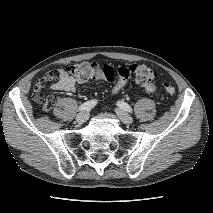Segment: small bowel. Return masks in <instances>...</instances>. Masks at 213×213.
Wrapping results in <instances>:
<instances>
[{
	"mask_svg": "<svg viewBox=\"0 0 213 213\" xmlns=\"http://www.w3.org/2000/svg\"><path fill=\"white\" fill-rule=\"evenodd\" d=\"M54 77H53V84L52 87L55 90L58 91H64V92H74L76 89V85H77V80L72 77L70 74H68L66 71L59 69L56 70L54 73ZM125 86V84L123 85V87ZM122 87V88H123ZM115 89V86L113 88V90ZM146 90L148 92H153L155 90V86L152 85L150 87H147Z\"/></svg>",
	"mask_w": 213,
	"mask_h": 213,
	"instance_id": "1",
	"label": "small bowel"
}]
</instances>
